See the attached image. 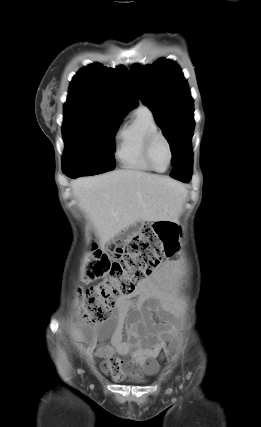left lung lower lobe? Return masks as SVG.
Segmentation results:
<instances>
[{
  "mask_svg": "<svg viewBox=\"0 0 261 427\" xmlns=\"http://www.w3.org/2000/svg\"><path fill=\"white\" fill-rule=\"evenodd\" d=\"M192 175V152L190 144L185 148L184 154L179 163L174 166L170 176L174 179L187 183Z\"/></svg>",
  "mask_w": 261,
  "mask_h": 427,
  "instance_id": "1",
  "label": "left lung lower lobe"
}]
</instances>
